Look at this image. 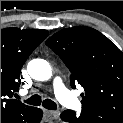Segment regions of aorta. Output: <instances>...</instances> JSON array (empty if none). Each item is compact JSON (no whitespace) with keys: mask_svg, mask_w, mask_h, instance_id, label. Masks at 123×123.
<instances>
[{"mask_svg":"<svg viewBox=\"0 0 123 123\" xmlns=\"http://www.w3.org/2000/svg\"><path fill=\"white\" fill-rule=\"evenodd\" d=\"M29 75L38 81L49 80L52 76L50 64L44 59H33L27 65Z\"/></svg>","mask_w":123,"mask_h":123,"instance_id":"aorta-1","label":"aorta"}]
</instances>
